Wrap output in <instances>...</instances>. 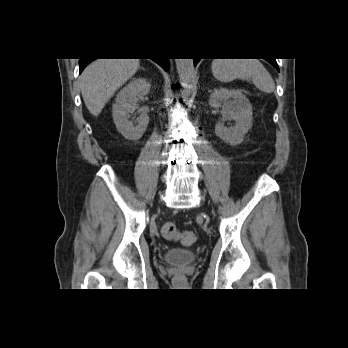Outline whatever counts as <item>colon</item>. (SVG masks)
I'll list each match as a JSON object with an SVG mask.
<instances>
[{"label":"colon","mask_w":348,"mask_h":348,"mask_svg":"<svg viewBox=\"0 0 348 348\" xmlns=\"http://www.w3.org/2000/svg\"><path fill=\"white\" fill-rule=\"evenodd\" d=\"M162 236L168 240L180 239L187 246L194 245L197 241V236L193 231H187L180 234L174 223L167 222L161 227Z\"/></svg>","instance_id":"1"}]
</instances>
